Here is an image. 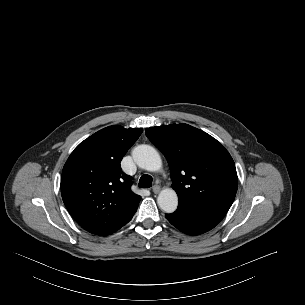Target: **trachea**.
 <instances>
[{
    "label": "trachea",
    "instance_id": "1",
    "mask_svg": "<svg viewBox=\"0 0 305 305\" xmlns=\"http://www.w3.org/2000/svg\"><path fill=\"white\" fill-rule=\"evenodd\" d=\"M152 177L150 175L144 174L139 180V187L141 188H150L152 186Z\"/></svg>",
    "mask_w": 305,
    "mask_h": 305
}]
</instances>
